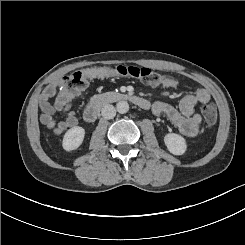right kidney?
Instances as JSON below:
<instances>
[{"mask_svg":"<svg viewBox=\"0 0 245 245\" xmlns=\"http://www.w3.org/2000/svg\"><path fill=\"white\" fill-rule=\"evenodd\" d=\"M69 134V151L77 149L83 142L85 130L75 126L67 131Z\"/></svg>","mask_w":245,"mask_h":245,"instance_id":"ca27d5eb","label":"right kidney"}]
</instances>
